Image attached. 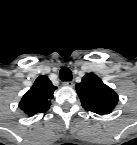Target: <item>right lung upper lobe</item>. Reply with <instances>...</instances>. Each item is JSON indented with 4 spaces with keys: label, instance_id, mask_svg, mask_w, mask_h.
<instances>
[{
    "label": "right lung upper lobe",
    "instance_id": "right-lung-upper-lobe-1",
    "mask_svg": "<svg viewBox=\"0 0 137 145\" xmlns=\"http://www.w3.org/2000/svg\"><path fill=\"white\" fill-rule=\"evenodd\" d=\"M57 89L49 78L39 76L33 86L27 91L19 103V107L29 116H33L38 113L46 112L53 98V93Z\"/></svg>",
    "mask_w": 137,
    "mask_h": 145
}]
</instances>
